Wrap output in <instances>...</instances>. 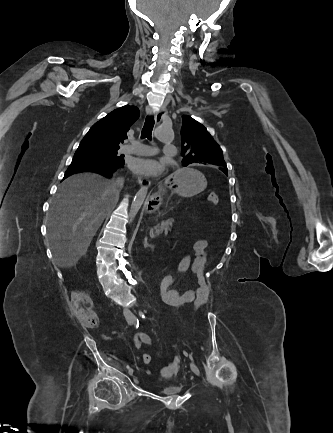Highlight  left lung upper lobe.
<instances>
[{"label": "left lung upper lobe", "mask_w": 333, "mask_h": 433, "mask_svg": "<svg viewBox=\"0 0 333 433\" xmlns=\"http://www.w3.org/2000/svg\"><path fill=\"white\" fill-rule=\"evenodd\" d=\"M181 140L183 166L189 164H213L227 175V166L222 150L207 129L191 116H182Z\"/></svg>", "instance_id": "5c2ea615"}]
</instances>
